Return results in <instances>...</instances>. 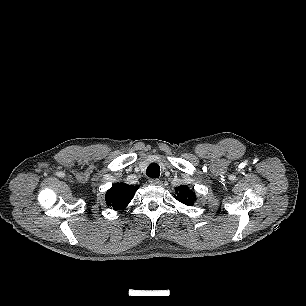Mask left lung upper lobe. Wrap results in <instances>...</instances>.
I'll list each match as a JSON object with an SVG mask.
<instances>
[{
    "mask_svg": "<svg viewBox=\"0 0 306 306\" xmlns=\"http://www.w3.org/2000/svg\"><path fill=\"white\" fill-rule=\"evenodd\" d=\"M176 199L186 205L192 206L196 197L194 193H191L187 186H179L176 188Z\"/></svg>",
    "mask_w": 306,
    "mask_h": 306,
    "instance_id": "obj_1",
    "label": "left lung upper lobe"
}]
</instances>
